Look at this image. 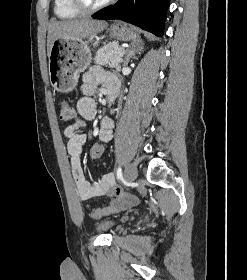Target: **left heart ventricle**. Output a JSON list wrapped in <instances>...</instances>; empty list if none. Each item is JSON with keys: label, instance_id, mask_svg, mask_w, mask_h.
Masks as SVG:
<instances>
[{"label": "left heart ventricle", "instance_id": "left-heart-ventricle-1", "mask_svg": "<svg viewBox=\"0 0 247 280\" xmlns=\"http://www.w3.org/2000/svg\"><path fill=\"white\" fill-rule=\"evenodd\" d=\"M106 0H84V2L90 6L98 5Z\"/></svg>", "mask_w": 247, "mask_h": 280}]
</instances>
